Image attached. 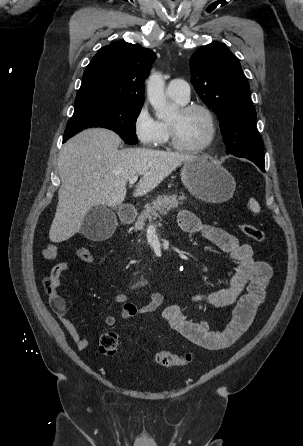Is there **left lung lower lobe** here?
Listing matches in <instances>:
<instances>
[{
	"mask_svg": "<svg viewBox=\"0 0 303 446\" xmlns=\"http://www.w3.org/2000/svg\"><path fill=\"white\" fill-rule=\"evenodd\" d=\"M254 162L262 171H264V163L257 161L256 159H249Z\"/></svg>",
	"mask_w": 303,
	"mask_h": 446,
	"instance_id": "1",
	"label": "left lung lower lobe"
}]
</instances>
